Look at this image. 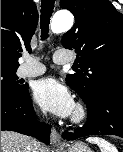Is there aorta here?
Returning a JSON list of instances; mask_svg holds the SVG:
<instances>
[{
  "label": "aorta",
  "instance_id": "obj_1",
  "mask_svg": "<svg viewBox=\"0 0 123 152\" xmlns=\"http://www.w3.org/2000/svg\"><path fill=\"white\" fill-rule=\"evenodd\" d=\"M74 23L73 15L68 11L57 12L51 22V31L53 33H63L71 29Z\"/></svg>",
  "mask_w": 123,
  "mask_h": 152
}]
</instances>
